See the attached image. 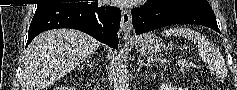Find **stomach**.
Listing matches in <instances>:
<instances>
[{
    "label": "stomach",
    "instance_id": "stomach-1",
    "mask_svg": "<svg viewBox=\"0 0 237 90\" xmlns=\"http://www.w3.org/2000/svg\"><path fill=\"white\" fill-rule=\"evenodd\" d=\"M136 51L142 55H153L159 53L165 44L152 33H146L138 37L133 43Z\"/></svg>",
    "mask_w": 237,
    "mask_h": 90
}]
</instances>
